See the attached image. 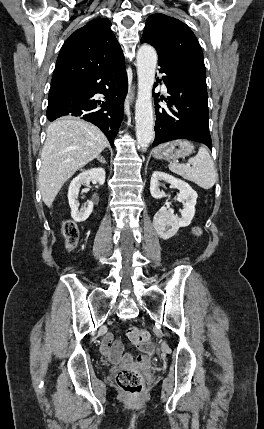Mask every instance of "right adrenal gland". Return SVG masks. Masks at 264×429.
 I'll list each match as a JSON object with an SVG mask.
<instances>
[{
    "mask_svg": "<svg viewBox=\"0 0 264 429\" xmlns=\"http://www.w3.org/2000/svg\"><path fill=\"white\" fill-rule=\"evenodd\" d=\"M97 160H98L99 162H101L102 164H105V163H106L105 158H104L103 156H101V155L97 156Z\"/></svg>",
    "mask_w": 264,
    "mask_h": 429,
    "instance_id": "1",
    "label": "right adrenal gland"
}]
</instances>
